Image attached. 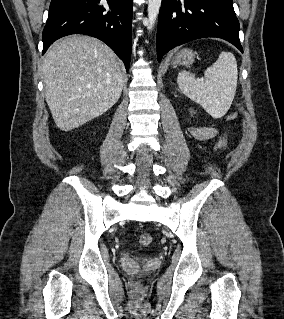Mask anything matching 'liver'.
<instances>
[{"label":"liver","instance_id":"1","mask_svg":"<svg viewBox=\"0 0 284 319\" xmlns=\"http://www.w3.org/2000/svg\"><path fill=\"white\" fill-rule=\"evenodd\" d=\"M43 75L46 102L63 131L102 115L122 93L121 63L107 45L90 36L55 42L45 57Z\"/></svg>","mask_w":284,"mask_h":319}]
</instances>
